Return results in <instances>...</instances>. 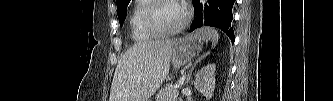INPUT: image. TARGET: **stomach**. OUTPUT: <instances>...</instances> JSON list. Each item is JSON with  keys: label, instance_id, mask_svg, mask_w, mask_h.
<instances>
[{"label": "stomach", "instance_id": "stomach-1", "mask_svg": "<svg viewBox=\"0 0 333 101\" xmlns=\"http://www.w3.org/2000/svg\"><path fill=\"white\" fill-rule=\"evenodd\" d=\"M202 40L201 36L197 33L174 40L171 53L173 66L180 68L196 57L202 50Z\"/></svg>", "mask_w": 333, "mask_h": 101}]
</instances>
